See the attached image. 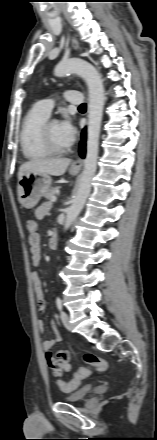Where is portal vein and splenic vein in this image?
<instances>
[{
  "mask_svg": "<svg viewBox=\"0 0 157 440\" xmlns=\"http://www.w3.org/2000/svg\"><path fill=\"white\" fill-rule=\"evenodd\" d=\"M56 199H57V198L54 196V197L51 198V201H52V202H56Z\"/></svg>",
  "mask_w": 157,
  "mask_h": 440,
  "instance_id": "18ae733b",
  "label": "portal vein and splenic vein"
}]
</instances>
